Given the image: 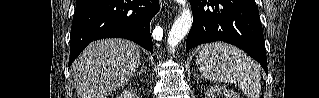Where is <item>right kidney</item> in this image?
Wrapping results in <instances>:
<instances>
[{"mask_svg":"<svg viewBox=\"0 0 319 98\" xmlns=\"http://www.w3.org/2000/svg\"><path fill=\"white\" fill-rule=\"evenodd\" d=\"M124 96H130V97L134 98L135 94L131 91V92H128V93L124 94Z\"/></svg>","mask_w":319,"mask_h":98,"instance_id":"ca27d5eb","label":"right kidney"}]
</instances>
